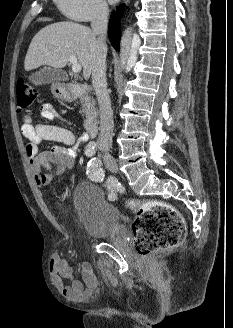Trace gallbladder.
Here are the masks:
<instances>
[{
    "mask_svg": "<svg viewBox=\"0 0 233 328\" xmlns=\"http://www.w3.org/2000/svg\"><path fill=\"white\" fill-rule=\"evenodd\" d=\"M58 79V74L55 69L51 67H44L39 71L33 73L29 80L34 85H42V84H49Z\"/></svg>",
    "mask_w": 233,
    "mask_h": 328,
    "instance_id": "bac80fb5",
    "label": "gallbladder"
}]
</instances>
